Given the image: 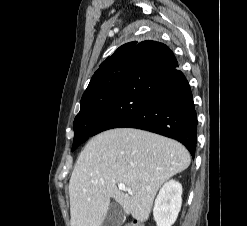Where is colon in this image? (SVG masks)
Returning <instances> with one entry per match:
<instances>
[{"label":"colon","mask_w":247,"mask_h":226,"mask_svg":"<svg viewBox=\"0 0 247 226\" xmlns=\"http://www.w3.org/2000/svg\"><path fill=\"white\" fill-rule=\"evenodd\" d=\"M125 226H143L139 221L133 220L125 224Z\"/></svg>","instance_id":"5ec220e1"}]
</instances>
